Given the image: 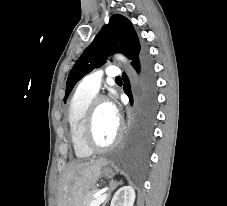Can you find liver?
Listing matches in <instances>:
<instances>
[{
    "mask_svg": "<svg viewBox=\"0 0 227 206\" xmlns=\"http://www.w3.org/2000/svg\"><path fill=\"white\" fill-rule=\"evenodd\" d=\"M105 162V159H98L70 164L57 188V206H81L84 196L97 182Z\"/></svg>",
    "mask_w": 227,
    "mask_h": 206,
    "instance_id": "1",
    "label": "liver"
}]
</instances>
